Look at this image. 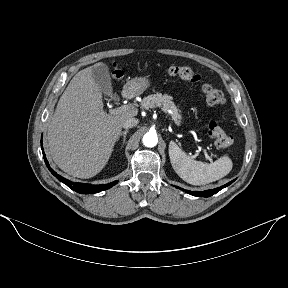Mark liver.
<instances>
[{
	"mask_svg": "<svg viewBox=\"0 0 288 288\" xmlns=\"http://www.w3.org/2000/svg\"><path fill=\"white\" fill-rule=\"evenodd\" d=\"M79 71L60 97L48 126L49 151L64 172L91 178L107 164L122 125L137 109L107 114L92 68Z\"/></svg>",
	"mask_w": 288,
	"mask_h": 288,
	"instance_id": "obj_1",
	"label": "liver"
}]
</instances>
